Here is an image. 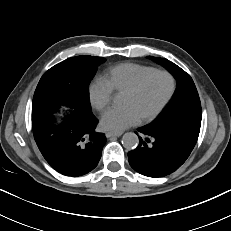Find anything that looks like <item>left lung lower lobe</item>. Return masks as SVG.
Returning a JSON list of instances; mask_svg holds the SVG:
<instances>
[{"label": "left lung lower lobe", "instance_id": "left-lung-lower-lobe-1", "mask_svg": "<svg viewBox=\"0 0 231 231\" xmlns=\"http://www.w3.org/2000/svg\"><path fill=\"white\" fill-rule=\"evenodd\" d=\"M138 147L128 153L131 167L148 177H163L176 171L189 157L200 131L199 125H146L138 129Z\"/></svg>", "mask_w": 231, "mask_h": 231}]
</instances>
